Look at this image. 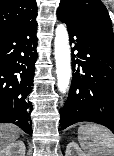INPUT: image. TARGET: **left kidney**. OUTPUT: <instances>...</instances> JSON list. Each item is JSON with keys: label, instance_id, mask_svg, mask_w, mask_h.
<instances>
[{"label": "left kidney", "instance_id": "left-kidney-1", "mask_svg": "<svg viewBox=\"0 0 114 156\" xmlns=\"http://www.w3.org/2000/svg\"><path fill=\"white\" fill-rule=\"evenodd\" d=\"M65 156H86V154L81 150L77 143L72 141L68 143L66 147Z\"/></svg>", "mask_w": 114, "mask_h": 156}]
</instances>
